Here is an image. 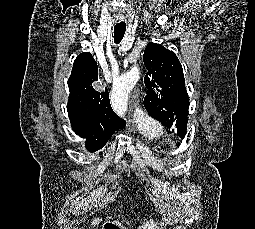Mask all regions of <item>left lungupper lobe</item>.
Wrapping results in <instances>:
<instances>
[{"instance_id":"obj_1","label":"left lung upper lobe","mask_w":255,"mask_h":229,"mask_svg":"<svg viewBox=\"0 0 255 229\" xmlns=\"http://www.w3.org/2000/svg\"><path fill=\"white\" fill-rule=\"evenodd\" d=\"M148 70L144 78L148 89L144 107L155 119L184 138L187 130L189 96L182 66L172 51L157 43H148L143 55Z\"/></svg>"}]
</instances>
